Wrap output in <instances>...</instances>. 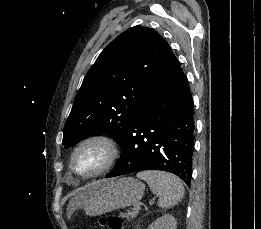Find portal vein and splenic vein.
Returning a JSON list of instances; mask_svg holds the SVG:
<instances>
[{
    "label": "portal vein and splenic vein",
    "mask_w": 261,
    "mask_h": 229,
    "mask_svg": "<svg viewBox=\"0 0 261 229\" xmlns=\"http://www.w3.org/2000/svg\"><path fill=\"white\" fill-rule=\"evenodd\" d=\"M141 207H142V204L141 203H137L136 207H135V210L139 211Z\"/></svg>",
    "instance_id": "obj_1"
}]
</instances>
